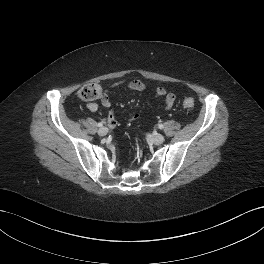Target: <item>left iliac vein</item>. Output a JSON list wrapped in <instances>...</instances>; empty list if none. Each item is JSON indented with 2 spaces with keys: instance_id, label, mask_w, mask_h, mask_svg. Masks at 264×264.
<instances>
[{
  "instance_id": "4c4485c4",
  "label": "left iliac vein",
  "mask_w": 264,
  "mask_h": 264,
  "mask_svg": "<svg viewBox=\"0 0 264 264\" xmlns=\"http://www.w3.org/2000/svg\"><path fill=\"white\" fill-rule=\"evenodd\" d=\"M165 138L162 134H153L152 135V141L154 144L159 145L162 144L164 142Z\"/></svg>"
}]
</instances>
